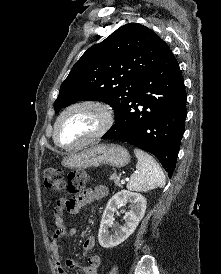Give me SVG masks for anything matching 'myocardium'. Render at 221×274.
<instances>
[{
	"instance_id": "f54148a6",
	"label": "myocardium",
	"mask_w": 221,
	"mask_h": 274,
	"mask_svg": "<svg viewBox=\"0 0 221 274\" xmlns=\"http://www.w3.org/2000/svg\"><path fill=\"white\" fill-rule=\"evenodd\" d=\"M81 108H89L97 112L100 118V124L97 130L94 133H92L89 137H87L86 139L82 140L79 143L71 144V145L62 144L58 139V129H59L60 122L71 111L76 109H81ZM113 123H114V113L112 108L108 104L98 100H91V99L80 100L70 104L59 114L54 124L53 139L56 145H58L59 147L63 149H67V150L79 149L90 143L95 142L96 140L101 138L103 135H105L110 130Z\"/></svg>"
}]
</instances>
